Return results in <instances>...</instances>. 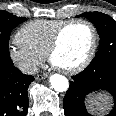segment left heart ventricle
<instances>
[{
  "label": "left heart ventricle",
  "mask_w": 116,
  "mask_h": 116,
  "mask_svg": "<svg viewBox=\"0 0 116 116\" xmlns=\"http://www.w3.org/2000/svg\"><path fill=\"white\" fill-rule=\"evenodd\" d=\"M92 42L88 26L74 24L63 33L60 44L53 54L52 62L61 68H71L81 63L86 57Z\"/></svg>",
  "instance_id": "1"
}]
</instances>
